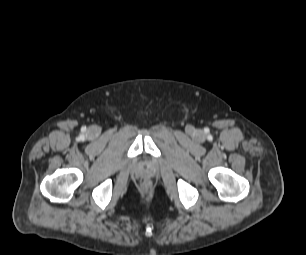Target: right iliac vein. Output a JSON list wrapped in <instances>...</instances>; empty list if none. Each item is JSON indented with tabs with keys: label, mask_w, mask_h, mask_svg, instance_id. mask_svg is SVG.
<instances>
[{
	"label": "right iliac vein",
	"mask_w": 306,
	"mask_h": 255,
	"mask_svg": "<svg viewBox=\"0 0 306 255\" xmlns=\"http://www.w3.org/2000/svg\"><path fill=\"white\" fill-rule=\"evenodd\" d=\"M89 131L91 136H96L99 134V129L97 127H91Z\"/></svg>",
	"instance_id": "obj_1"
}]
</instances>
